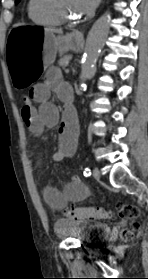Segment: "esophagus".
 Returning a JSON list of instances; mask_svg holds the SVG:
<instances>
[{"label":"esophagus","instance_id":"1","mask_svg":"<svg viewBox=\"0 0 148 279\" xmlns=\"http://www.w3.org/2000/svg\"><path fill=\"white\" fill-rule=\"evenodd\" d=\"M76 36L81 39L83 38V35L81 33H76Z\"/></svg>","mask_w":148,"mask_h":279}]
</instances>
